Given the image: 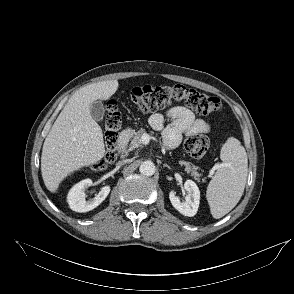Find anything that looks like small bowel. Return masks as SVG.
<instances>
[{
	"mask_svg": "<svg viewBox=\"0 0 294 294\" xmlns=\"http://www.w3.org/2000/svg\"><path fill=\"white\" fill-rule=\"evenodd\" d=\"M167 117L171 119L167 126L164 116L160 113L151 115L149 123L153 129L162 131L164 144L170 149L179 145L183 135L208 133L211 130L209 122L197 119L191 110L183 106L170 108Z\"/></svg>",
	"mask_w": 294,
	"mask_h": 294,
	"instance_id": "obj_1",
	"label": "small bowel"
}]
</instances>
